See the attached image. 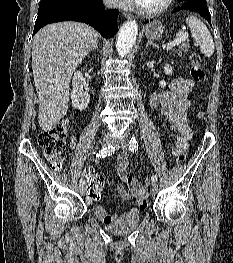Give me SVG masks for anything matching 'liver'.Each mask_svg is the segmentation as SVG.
<instances>
[{
    "label": "liver",
    "mask_w": 233,
    "mask_h": 263,
    "mask_svg": "<svg viewBox=\"0 0 233 263\" xmlns=\"http://www.w3.org/2000/svg\"><path fill=\"white\" fill-rule=\"evenodd\" d=\"M98 37L91 26L73 21L49 24L34 36L32 70L43 131L66 115L73 72Z\"/></svg>",
    "instance_id": "6515ba94"
}]
</instances>
